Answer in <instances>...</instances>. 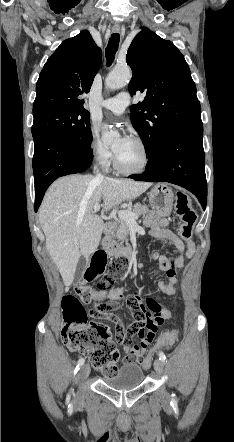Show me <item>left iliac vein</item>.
Here are the masks:
<instances>
[{
	"label": "left iliac vein",
	"instance_id": "1",
	"mask_svg": "<svg viewBox=\"0 0 234 442\" xmlns=\"http://www.w3.org/2000/svg\"><path fill=\"white\" fill-rule=\"evenodd\" d=\"M154 369H155L156 373H157L159 376H161V375L163 374V372H164V366H163V363H162V361H161L160 359H156V360L154 361ZM168 398H169V395H168V393L164 390V391H163V399H164V400H168Z\"/></svg>",
	"mask_w": 234,
	"mask_h": 442
}]
</instances>
